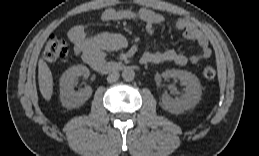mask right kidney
I'll list each match as a JSON object with an SVG mask.
<instances>
[{
  "instance_id": "obj_1",
  "label": "right kidney",
  "mask_w": 259,
  "mask_h": 156,
  "mask_svg": "<svg viewBox=\"0 0 259 156\" xmlns=\"http://www.w3.org/2000/svg\"><path fill=\"white\" fill-rule=\"evenodd\" d=\"M89 69L83 65H76L66 70L60 78V100L68 109L82 106L92 95V88L86 86L81 91L74 90V83L79 76L88 78Z\"/></svg>"
}]
</instances>
